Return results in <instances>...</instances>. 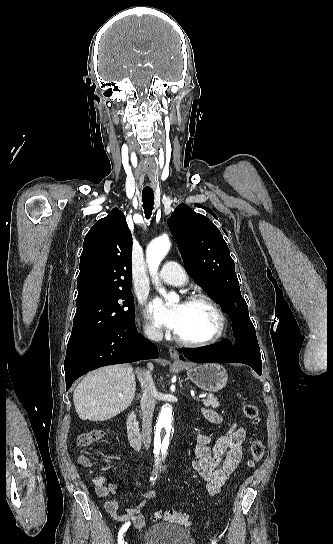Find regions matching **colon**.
I'll return each mask as SVG.
<instances>
[{
  "instance_id": "1",
  "label": "colon",
  "mask_w": 333,
  "mask_h": 544,
  "mask_svg": "<svg viewBox=\"0 0 333 544\" xmlns=\"http://www.w3.org/2000/svg\"><path fill=\"white\" fill-rule=\"evenodd\" d=\"M243 413L246 418L249 420L258 423L259 422V409L254 404H245L243 406ZM103 436V431L101 430H93L86 433H83L78 438V445L82 448L87 447L94 443L95 441L99 440ZM265 451V447L263 442L260 439H255L252 441L250 445V455L249 459L247 460V467L248 468H254L263 458ZM80 463L84 466L90 465V460L86 456H81L79 458ZM151 520H165L168 522L180 524V525H188L190 522V517L187 513L178 511V510H167V511H160L156 510L153 513L150 514L149 517Z\"/></svg>"
}]
</instances>
